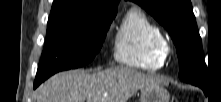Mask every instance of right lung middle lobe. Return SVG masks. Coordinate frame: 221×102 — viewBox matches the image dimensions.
<instances>
[{
	"label": "right lung middle lobe",
	"instance_id": "1",
	"mask_svg": "<svg viewBox=\"0 0 221 102\" xmlns=\"http://www.w3.org/2000/svg\"><path fill=\"white\" fill-rule=\"evenodd\" d=\"M116 13L117 10L50 14L35 80L43 82L58 71L91 62L100 51Z\"/></svg>",
	"mask_w": 221,
	"mask_h": 102
}]
</instances>
